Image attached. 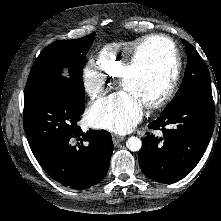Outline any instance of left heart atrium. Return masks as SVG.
Segmentation results:
<instances>
[{
  "label": "left heart atrium",
  "mask_w": 221,
  "mask_h": 221,
  "mask_svg": "<svg viewBox=\"0 0 221 221\" xmlns=\"http://www.w3.org/2000/svg\"><path fill=\"white\" fill-rule=\"evenodd\" d=\"M143 116V104L127 91H119L97 103L89 118L101 128L125 134L132 130Z\"/></svg>",
  "instance_id": "1"
}]
</instances>
